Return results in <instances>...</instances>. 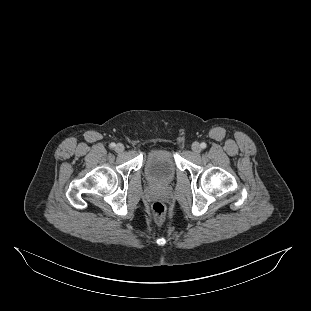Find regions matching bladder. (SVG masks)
Returning a JSON list of instances; mask_svg holds the SVG:
<instances>
[{
	"label": "bladder",
	"instance_id": "1",
	"mask_svg": "<svg viewBox=\"0 0 311 311\" xmlns=\"http://www.w3.org/2000/svg\"><path fill=\"white\" fill-rule=\"evenodd\" d=\"M176 169L174 153L168 147L157 148L147 156L145 173L152 184H169L175 177Z\"/></svg>",
	"mask_w": 311,
	"mask_h": 311
}]
</instances>
